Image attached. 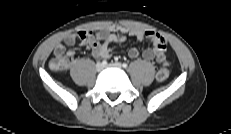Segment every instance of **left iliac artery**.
I'll list each match as a JSON object with an SVG mask.
<instances>
[{
    "label": "left iliac artery",
    "mask_w": 231,
    "mask_h": 134,
    "mask_svg": "<svg viewBox=\"0 0 231 134\" xmlns=\"http://www.w3.org/2000/svg\"><path fill=\"white\" fill-rule=\"evenodd\" d=\"M122 66L123 68H127L128 65L126 63H123Z\"/></svg>",
    "instance_id": "left-iliac-artery-1"
}]
</instances>
